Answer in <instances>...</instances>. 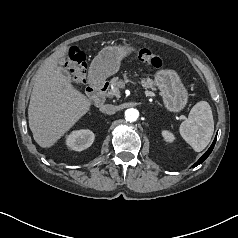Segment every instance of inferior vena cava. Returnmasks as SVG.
Here are the masks:
<instances>
[{"instance_id": "602c4592", "label": "inferior vena cava", "mask_w": 238, "mask_h": 238, "mask_svg": "<svg viewBox=\"0 0 238 238\" xmlns=\"http://www.w3.org/2000/svg\"><path fill=\"white\" fill-rule=\"evenodd\" d=\"M99 110L102 113L111 115L116 112V106H114L112 104H105V105H102Z\"/></svg>"}]
</instances>
